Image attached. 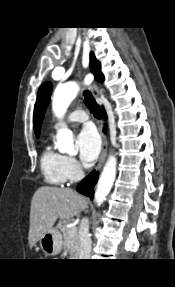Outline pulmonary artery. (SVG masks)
I'll use <instances>...</instances> for the list:
<instances>
[{
    "label": "pulmonary artery",
    "mask_w": 175,
    "mask_h": 287,
    "mask_svg": "<svg viewBox=\"0 0 175 287\" xmlns=\"http://www.w3.org/2000/svg\"><path fill=\"white\" fill-rule=\"evenodd\" d=\"M88 120V115L83 110H75L71 112L67 117L68 123H85ZM59 124L55 125V128H58Z\"/></svg>",
    "instance_id": "obj_1"
}]
</instances>
